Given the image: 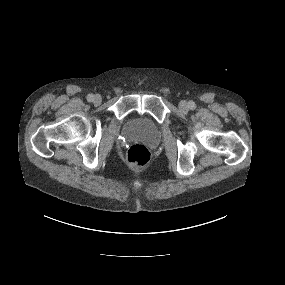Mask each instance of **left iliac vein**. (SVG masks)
Listing matches in <instances>:
<instances>
[{
    "label": "left iliac vein",
    "instance_id": "4c4485c4",
    "mask_svg": "<svg viewBox=\"0 0 285 285\" xmlns=\"http://www.w3.org/2000/svg\"><path fill=\"white\" fill-rule=\"evenodd\" d=\"M179 109L182 111V112H187L189 110V106L187 104L186 101H181L179 103Z\"/></svg>",
    "mask_w": 285,
    "mask_h": 285
}]
</instances>
